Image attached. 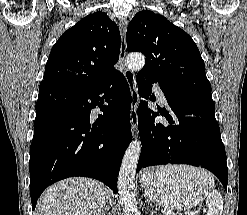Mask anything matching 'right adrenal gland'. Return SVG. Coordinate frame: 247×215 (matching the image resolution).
Segmentation results:
<instances>
[{
  "mask_svg": "<svg viewBox=\"0 0 247 215\" xmlns=\"http://www.w3.org/2000/svg\"><path fill=\"white\" fill-rule=\"evenodd\" d=\"M108 211H109V205L107 204L106 207H105V209H104L103 215H105L106 212H108Z\"/></svg>",
  "mask_w": 247,
  "mask_h": 215,
  "instance_id": "2a0ac1e0",
  "label": "right adrenal gland"
}]
</instances>
